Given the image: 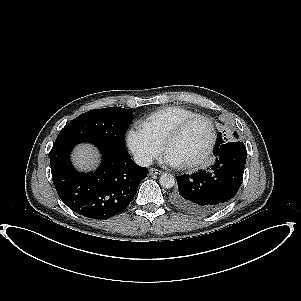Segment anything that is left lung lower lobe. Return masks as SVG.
Here are the masks:
<instances>
[{
    "label": "left lung lower lobe",
    "mask_w": 301,
    "mask_h": 301,
    "mask_svg": "<svg viewBox=\"0 0 301 301\" xmlns=\"http://www.w3.org/2000/svg\"><path fill=\"white\" fill-rule=\"evenodd\" d=\"M216 162L208 171L177 176L178 188L171 202L178 208L209 214L226 206L242 183L247 158L243 142H229L215 149Z\"/></svg>",
    "instance_id": "left-lung-lower-lobe-1"
}]
</instances>
